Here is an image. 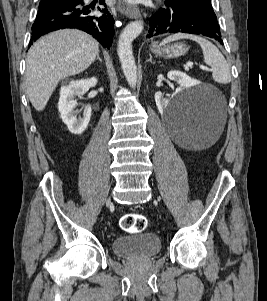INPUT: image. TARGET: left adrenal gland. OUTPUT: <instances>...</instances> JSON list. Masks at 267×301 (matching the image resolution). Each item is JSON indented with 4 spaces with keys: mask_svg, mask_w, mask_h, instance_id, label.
Listing matches in <instances>:
<instances>
[{
    "mask_svg": "<svg viewBox=\"0 0 267 301\" xmlns=\"http://www.w3.org/2000/svg\"><path fill=\"white\" fill-rule=\"evenodd\" d=\"M147 62L155 64V62L152 61V55L150 54V58L147 60Z\"/></svg>",
    "mask_w": 267,
    "mask_h": 301,
    "instance_id": "a2214340",
    "label": "left adrenal gland"
}]
</instances>
